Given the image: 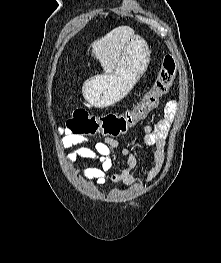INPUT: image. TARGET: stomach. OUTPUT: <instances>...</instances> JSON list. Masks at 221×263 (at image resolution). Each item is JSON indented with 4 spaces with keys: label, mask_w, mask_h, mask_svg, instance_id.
<instances>
[{
    "label": "stomach",
    "mask_w": 221,
    "mask_h": 263,
    "mask_svg": "<svg viewBox=\"0 0 221 263\" xmlns=\"http://www.w3.org/2000/svg\"><path fill=\"white\" fill-rule=\"evenodd\" d=\"M150 53L146 42L132 36L111 74L91 77L82 87L86 101L96 108H106L123 99L147 70Z\"/></svg>",
    "instance_id": "stomach-1"
}]
</instances>
